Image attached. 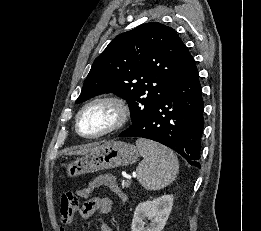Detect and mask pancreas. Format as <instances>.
Masks as SVG:
<instances>
[{
    "instance_id": "pancreas-1",
    "label": "pancreas",
    "mask_w": 261,
    "mask_h": 231,
    "mask_svg": "<svg viewBox=\"0 0 261 231\" xmlns=\"http://www.w3.org/2000/svg\"><path fill=\"white\" fill-rule=\"evenodd\" d=\"M129 185H130V184H126V183L123 184L124 187H128Z\"/></svg>"
}]
</instances>
